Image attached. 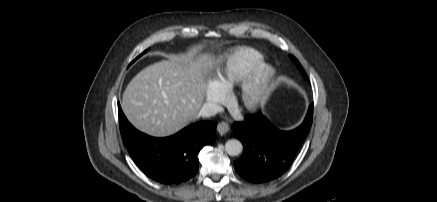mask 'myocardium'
Here are the masks:
<instances>
[{
	"mask_svg": "<svg viewBox=\"0 0 437 202\" xmlns=\"http://www.w3.org/2000/svg\"><path fill=\"white\" fill-rule=\"evenodd\" d=\"M275 76L272 65L261 63L239 85L233 97V106L242 112L255 111L266 99Z\"/></svg>",
	"mask_w": 437,
	"mask_h": 202,
	"instance_id": "obj_1",
	"label": "myocardium"
}]
</instances>
